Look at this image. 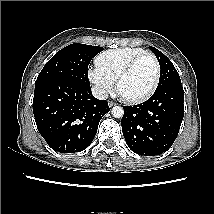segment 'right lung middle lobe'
<instances>
[{
    "label": "right lung middle lobe",
    "mask_w": 214,
    "mask_h": 214,
    "mask_svg": "<svg viewBox=\"0 0 214 214\" xmlns=\"http://www.w3.org/2000/svg\"><path fill=\"white\" fill-rule=\"evenodd\" d=\"M103 51V47L70 44L51 58L40 72L35 86L49 80H66L82 85H90L88 65L91 59Z\"/></svg>",
    "instance_id": "obj_1"
}]
</instances>
